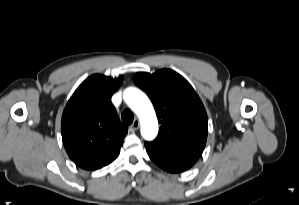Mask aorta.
<instances>
[{
  "mask_svg": "<svg viewBox=\"0 0 299 205\" xmlns=\"http://www.w3.org/2000/svg\"><path fill=\"white\" fill-rule=\"evenodd\" d=\"M123 97L141 121V135L143 138L153 140L158 133V121L148 97L136 88H127Z\"/></svg>",
  "mask_w": 299,
  "mask_h": 205,
  "instance_id": "1",
  "label": "aorta"
}]
</instances>
